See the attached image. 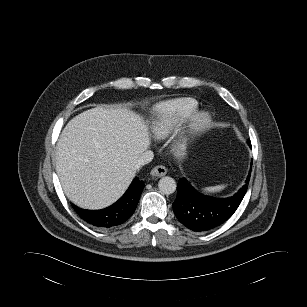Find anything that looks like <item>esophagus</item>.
Listing matches in <instances>:
<instances>
[{
	"instance_id": "obj_1",
	"label": "esophagus",
	"mask_w": 307,
	"mask_h": 307,
	"mask_svg": "<svg viewBox=\"0 0 307 307\" xmlns=\"http://www.w3.org/2000/svg\"><path fill=\"white\" fill-rule=\"evenodd\" d=\"M166 173L167 169L162 165L155 166L150 172V174L155 177H162L166 175Z\"/></svg>"
}]
</instances>
